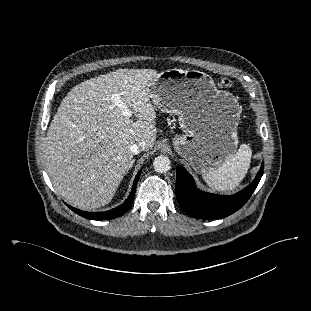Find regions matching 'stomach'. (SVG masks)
<instances>
[{"label": "stomach", "mask_w": 311, "mask_h": 311, "mask_svg": "<svg viewBox=\"0 0 311 311\" xmlns=\"http://www.w3.org/2000/svg\"><path fill=\"white\" fill-rule=\"evenodd\" d=\"M148 89L161 111L179 115L184 134L173 138V146L196 172L218 168L236 153L239 103L218 90L209 75L168 69L154 77Z\"/></svg>", "instance_id": "obj_1"}]
</instances>
